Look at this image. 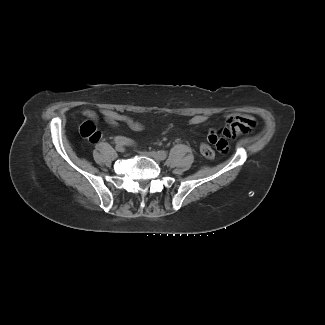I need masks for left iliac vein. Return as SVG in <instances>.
<instances>
[{"label":"left iliac vein","instance_id":"4c4485c4","mask_svg":"<svg viewBox=\"0 0 325 325\" xmlns=\"http://www.w3.org/2000/svg\"><path fill=\"white\" fill-rule=\"evenodd\" d=\"M143 154L154 158L157 162L161 161L157 152H143Z\"/></svg>","mask_w":325,"mask_h":325}]
</instances>
